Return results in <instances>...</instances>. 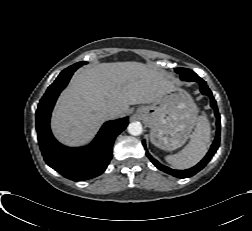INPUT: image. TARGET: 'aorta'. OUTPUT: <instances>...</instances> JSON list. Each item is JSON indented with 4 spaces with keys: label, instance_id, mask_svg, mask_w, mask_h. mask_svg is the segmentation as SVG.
Masks as SVG:
<instances>
[{
    "label": "aorta",
    "instance_id": "1",
    "mask_svg": "<svg viewBox=\"0 0 252 231\" xmlns=\"http://www.w3.org/2000/svg\"><path fill=\"white\" fill-rule=\"evenodd\" d=\"M131 135L138 136L142 133V125L140 122H132L127 127Z\"/></svg>",
    "mask_w": 252,
    "mask_h": 231
}]
</instances>
